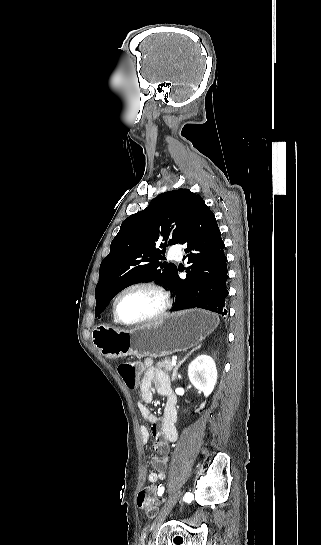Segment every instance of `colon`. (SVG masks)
Returning a JSON list of instances; mask_svg holds the SVG:
<instances>
[{"mask_svg":"<svg viewBox=\"0 0 321 545\" xmlns=\"http://www.w3.org/2000/svg\"><path fill=\"white\" fill-rule=\"evenodd\" d=\"M118 372L129 389H135L138 384L137 365L132 361L121 362ZM137 504L147 514L153 515L159 504L157 489L154 486L144 487L137 496Z\"/></svg>","mask_w":321,"mask_h":545,"instance_id":"1","label":"colon"}]
</instances>
